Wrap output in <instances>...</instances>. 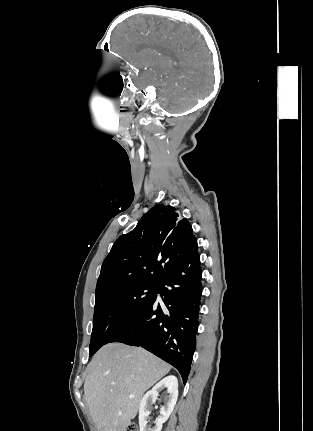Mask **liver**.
Segmentation results:
<instances>
[{
    "instance_id": "obj_1",
    "label": "liver",
    "mask_w": 313,
    "mask_h": 431,
    "mask_svg": "<svg viewBox=\"0 0 313 431\" xmlns=\"http://www.w3.org/2000/svg\"><path fill=\"white\" fill-rule=\"evenodd\" d=\"M170 369L143 348L118 342L103 346L91 360L84 383V399L97 429L126 431L145 391Z\"/></svg>"
}]
</instances>
